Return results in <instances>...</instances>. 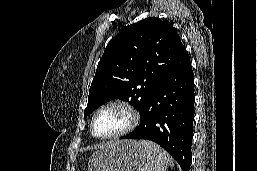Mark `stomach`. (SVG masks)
<instances>
[{"label":"stomach","mask_w":257,"mask_h":171,"mask_svg":"<svg viewBox=\"0 0 257 171\" xmlns=\"http://www.w3.org/2000/svg\"><path fill=\"white\" fill-rule=\"evenodd\" d=\"M144 149L135 140H124L97 150L90 158L89 171H142Z\"/></svg>","instance_id":"0dacf381"}]
</instances>
